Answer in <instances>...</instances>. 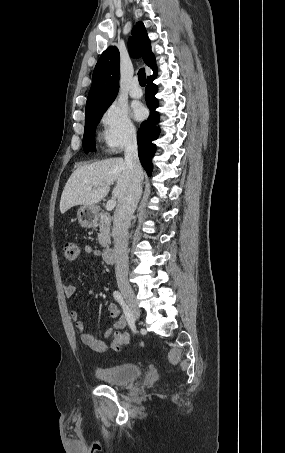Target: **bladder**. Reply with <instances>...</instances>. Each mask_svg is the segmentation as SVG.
<instances>
[{
    "instance_id": "obj_1",
    "label": "bladder",
    "mask_w": 285,
    "mask_h": 453,
    "mask_svg": "<svg viewBox=\"0 0 285 453\" xmlns=\"http://www.w3.org/2000/svg\"><path fill=\"white\" fill-rule=\"evenodd\" d=\"M95 376L110 385H125L137 380L141 374V368L135 363H124L113 366H96Z\"/></svg>"
}]
</instances>
